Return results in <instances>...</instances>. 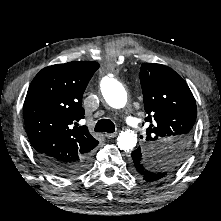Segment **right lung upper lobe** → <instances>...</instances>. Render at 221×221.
<instances>
[{
  "label": "right lung upper lobe",
  "instance_id": "1",
  "mask_svg": "<svg viewBox=\"0 0 221 221\" xmlns=\"http://www.w3.org/2000/svg\"><path fill=\"white\" fill-rule=\"evenodd\" d=\"M98 68L97 62L76 61L46 67L35 76L24 102V122L37 155L66 163L91 155L98 141L77 122L85 114L84 90Z\"/></svg>",
  "mask_w": 221,
  "mask_h": 221
}]
</instances>
